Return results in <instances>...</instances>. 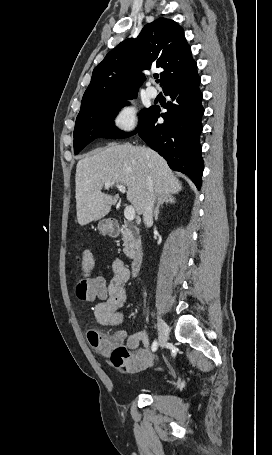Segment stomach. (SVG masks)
<instances>
[{"label":"stomach","instance_id":"obj_1","mask_svg":"<svg viewBox=\"0 0 272 455\" xmlns=\"http://www.w3.org/2000/svg\"><path fill=\"white\" fill-rule=\"evenodd\" d=\"M98 229L101 234H103V235L108 234L112 229V221L111 220H102L99 223Z\"/></svg>","mask_w":272,"mask_h":455}]
</instances>
